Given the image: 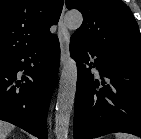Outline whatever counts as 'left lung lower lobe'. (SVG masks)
I'll list each match as a JSON object with an SVG mask.
<instances>
[{
    "label": "left lung lower lobe",
    "instance_id": "0a47b994",
    "mask_svg": "<svg viewBox=\"0 0 141 139\" xmlns=\"http://www.w3.org/2000/svg\"><path fill=\"white\" fill-rule=\"evenodd\" d=\"M70 52L78 70L74 139L113 132L141 137V59L109 53L75 37H71ZM88 53L96 57L94 63L89 64ZM90 67L99 70L100 81Z\"/></svg>",
    "mask_w": 141,
    "mask_h": 139
}]
</instances>
